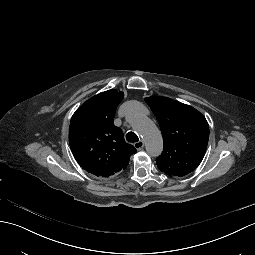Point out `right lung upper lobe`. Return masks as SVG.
I'll return each mask as SVG.
<instances>
[{"label": "right lung upper lobe", "instance_id": "1", "mask_svg": "<svg viewBox=\"0 0 255 255\" xmlns=\"http://www.w3.org/2000/svg\"><path fill=\"white\" fill-rule=\"evenodd\" d=\"M123 92L108 90L83 103L73 114L69 144L78 164L97 177H109L124 170L136 149L124 141L113 123Z\"/></svg>", "mask_w": 255, "mask_h": 255}]
</instances>
